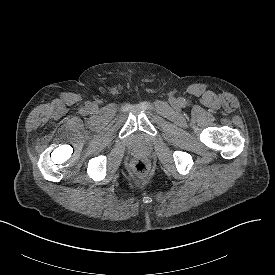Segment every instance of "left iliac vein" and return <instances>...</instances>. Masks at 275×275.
Wrapping results in <instances>:
<instances>
[{"label": "left iliac vein", "mask_w": 275, "mask_h": 275, "mask_svg": "<svg viewBox=\"0 0 275 275\" xmlns=\"http://www.w3.org/2000/svg\"><path fill=\"white\" fill-rule=\"evenodd\" d=\"M171 104L176 107L177 106V101L175 99H171Z\"/></svg>", "instance_id": "1"}]
</instances>
